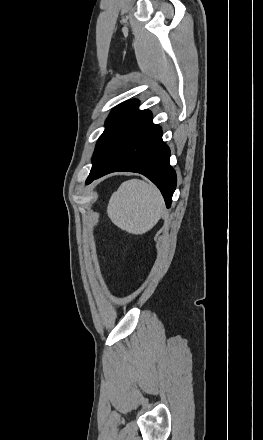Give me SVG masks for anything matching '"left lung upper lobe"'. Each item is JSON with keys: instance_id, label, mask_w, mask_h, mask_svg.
Returning <instances> with one entry per match:
<instances>
[{"instance_id": "obj_1", "label": "left lung upper lobe", "mask_w": 263, "mask_h": 440, "mask_svg": "<svg viewBox=\"0 0 263 440\" xmlns=\"http://www.w3.org/2000/svg\"><path fill=\"white\" fill-rule=\"evenodd\" d=\"M138 104L137 100H129L110 113L105 130L97 141L90 173L98 172L106 165L128 125L139 112Z\"/></svg>"}]
</instances>
